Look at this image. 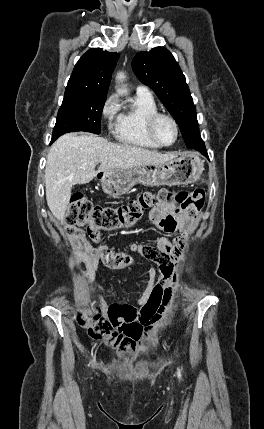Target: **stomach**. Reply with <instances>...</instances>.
I'll list each match as a JSON object with an SVG mask.
<instances>
[{"label": "stomach", "instance_id": "stomach-1", "mask_svg": "<svg viewBox=\"0 0 264 429\" xmlns=\"http://www.w3.org/2000/svg\"><path fill=\"white\" fill-rule=\"evenodd\" d=\"M203 170V160L196 153L188 152L163 164L104 170L97 176L107 195L119 197L138 183L150 186L192 184L199 180Z\"/></svg>", "mask_w": 264, "mask_h": 429}]
</instances>
